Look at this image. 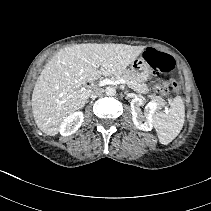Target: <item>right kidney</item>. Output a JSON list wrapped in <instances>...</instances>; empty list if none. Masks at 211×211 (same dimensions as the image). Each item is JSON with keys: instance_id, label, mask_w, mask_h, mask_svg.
Masks as SVG:
<instances>
[{"instance_id": "1", "label": "right kidney", "mask_w": 211, "mask_h": 211, "mask_svg": "<svg viewBox=\"0 0 211 211\" xmlns=\"http://www.w3.org/2000/svg\"><path fill=\"white\" fill-rule=\"evenodd\" d=\"M84 115L81 111H77L69 115L62 123L59 132L62 136H70L74 134L82 125Z\"/></svg>"}]
</instances>
